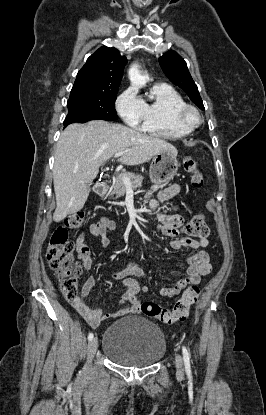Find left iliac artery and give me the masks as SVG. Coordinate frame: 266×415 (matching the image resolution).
I'll return each mask as SVG.
<instances>
[{"label": "left iliac artery", "mask_w": 266, "mask_h": 415, "mask_svg": "<svg viewBox=\"0 0 266 415\" xmlns=\"http://www.w3.org/2000/svg\"><path fill=\"white\" fill-rule=\"evenodd\" d=\"M182 353H183V359H184V365H185L186 372L188 374H190L191 373L190 356H189V352H188V350L185 346L182 347Z\"/></svg>", "instance_id": "44dca946"}]
</instances>
